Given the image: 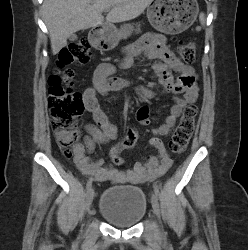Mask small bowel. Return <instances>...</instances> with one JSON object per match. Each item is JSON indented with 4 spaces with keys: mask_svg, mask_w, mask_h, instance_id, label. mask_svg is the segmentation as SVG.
Here are the masks:
<instances>
[{
    "mask_svg": "<svg viewBox=\"0 0 248 250\" xmlns=\"http://www.w3.org/2000/svg\"><path fill=\"white\" fill-rule=\"evenodd\" d=\"M129 52L130 57L124 61V67H130L135 56H144L152 60L154 62L152 70L159 83L166 92L174 94L173 104L165 121L153 129V137L149 143L157 152L155 156H147L144 160L135 163L133 169L127 171L104 166L102 159H91L88 153L94 149L96 143L105 144L116 139L117 128L100 107L97 96L107 95L112 91L128 87L129 83L113 76L115 69L112 64L102 63L98 65L92 86L86 88L82 96L86 109L93 115L94 123L85 125L86 135L83 142L76 145L74 160L75 165L83 174L90 176L97 182L142 184L164 175L171 167L172 160L161 138L168 135L175 126L183 108L187 104L194 103L198 98L197 76L193 68L181 61L167 47L163 35L145 34L129 48ZM173 73L179 74L177 80L173 79ZM137 91L147 99L154 97V91L148 87H137ZM179 94H183V96H179ZM137 120L142 125L151 123L152 117L148 105L138 109ZM126 137L134 144L138 139L136 132H129Z\"/></svg>",
    "mask_w": 248,
    "mask_h": 250,
    "instance_id": "obj_1",
    "label": "small bowel"
}]
</instances>
